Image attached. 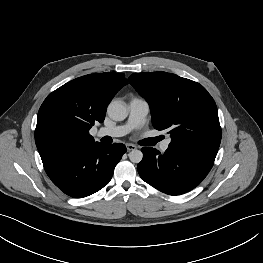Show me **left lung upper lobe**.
<instances>
[{
    "instance_id": "5c2ea615",
    "label": "left lung upper lobe",
    "mask_w": 263,
    "mask_h": 263,
    "mask_svg": "<svg viewBox=\"0 0 263 263\" xmlns=\"http://www.w3.org/2000/svg\"><path fill=\"white\" fill-rule=\"evenodd\" d=\"M128 81L149 103L154 128L169 130L171 145L218 150L217 107L202 85L167 72L134 73Z\"/></svg>"
}]
</instances>
